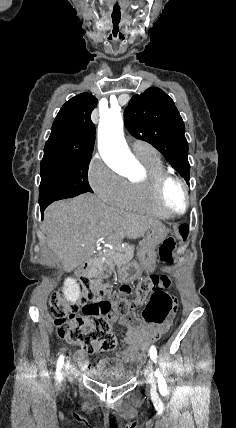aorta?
<instances>
[{
    "instance_id": "aorta-1",
    "label": "aorta",
    "mask_w": 236,
    "mask_h": 428,
    "mask_svg": "<svg viewBox=\"0 0 236 428\" xmlns=\"http://www.w3.org/2000/svg\"><path fill=\"white\" fill-rule=\"evenodd\" d=\"M98 148L105 162L118 171L128 172L136 166L137 161L124 138L120 107H112L101 115Z\"/></svg>"
}]
</instances>
